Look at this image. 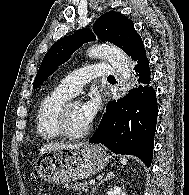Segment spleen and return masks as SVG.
I'll return each instance as SVG.
<instances>
[{"mask_svg": "<svg viewBox=\"0 0 189 195\" xmlns=\"http://www.w3.org/2000/svg\"><path fill=\"white\" fill-rule=\"evenodd\" d=\"M121 164H127V158L125 156L121 157Z\"/></svg>", "mask_w": 189, "mask_h": 195, "instance_id": "1", "label": "spleen"}]
</instances>
